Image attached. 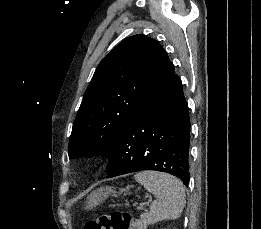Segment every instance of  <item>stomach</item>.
<instances>
[{"label":"stomach","instance_id":"obj_1","mask_svg":"<svg viewBox=\"0 0 261 229\" xmlns=\"http://www.w3.org/2000/svg\"><path fill=\"white\" fill-rule=\"evenodd\" d=\"M128 189H120L119 193L114 191L113 187H101L91 193L89 199L91 203H104L109 197H118V195H126Z\"/></svg>","mask_w":261,"mask_h":229}]
</instances>
